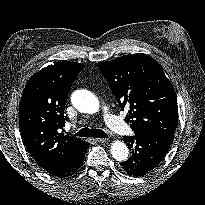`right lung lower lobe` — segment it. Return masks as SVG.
<instances>
[{"label": "right lung lower lobe", "instance_id": "98d812e1", "mask_svg": "<svg viewBox=\"0 0 205 205\" xmlns=\"http://www.w3.org/2000/svg\"><path fill=\"white\" fill-rule=\"evenodd\" d=\"M88 146L89 143L84 142L79 149L71 153L63 162L46 171L53 176L61 178L75 174L82 166Z\"/></svg>", "mask_w": 205, "mask_h": 205}]
</instances>
